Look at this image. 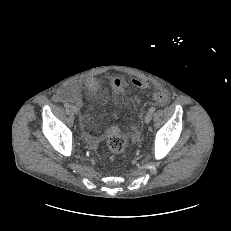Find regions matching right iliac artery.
Wrapping results in <instances>:
<instances>
[{
	"label": "right iliac artery",
	"mask_w": 231,
	"mask_h": 231,
	"mask_svg": "<svg viewBox=\"0 0 231 231\" xmlns=\"http://www.w3.org/2000/svg\"><path fill=\"white\" fill-rule=\"evenodd\" d=\"M64 106H65L66 108H69L70 105H69L68 103H65Z\"/></svg>",
	"instance_id": "obj_1"
}]
</instances>
